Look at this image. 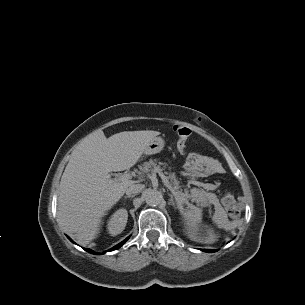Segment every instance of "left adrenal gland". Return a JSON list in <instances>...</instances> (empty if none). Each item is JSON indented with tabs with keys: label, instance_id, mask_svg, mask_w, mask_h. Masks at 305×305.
<instances>
[{
	"label": "left adrenal gland",
	"instance_id": "a2214340",
	"mask_svg": "<svg viewBox=\"0 0 305 305\" xmlns=\"http://www.w3.org/2000/svg\"><path fill=\"white\" fill-rule=\"evenodd\" d=\"M169 196H170V202L169 203L175 207V202H174L173 195L169 194ZM178 207H179V204L177 203V207H175V208H178Z\"/></svg>",
	"mask_w": 305,
	"mask_h": 305
}]
</instances>
